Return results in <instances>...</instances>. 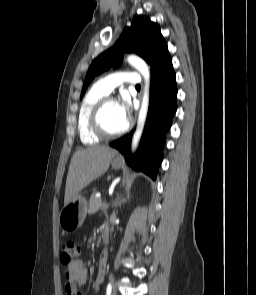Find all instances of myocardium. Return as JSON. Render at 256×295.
Here are the masks:
<instances>
[{
  "label": "myocardium",
  "mask_w": 256,
  "mask_h": 295,
  "mask_svg": "<svg viewBox=\"0 0 256 295\" xmlns=\"http://www.w3.org/2000/svg\"><path fill=\"white\" fill-rule=\"evenodd\" d=\"M110 101H114V99L109 96H105L102 99H100L93 107L89 118V125L92 132L103 139L116 138L118 136H121L128 129V123H126L124 127L117 132H109L104 127L102 123V114L107 103Z\"/></svg>",
  "instance_id": "f54148a6"
}]
</instances>
